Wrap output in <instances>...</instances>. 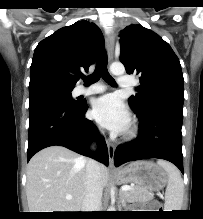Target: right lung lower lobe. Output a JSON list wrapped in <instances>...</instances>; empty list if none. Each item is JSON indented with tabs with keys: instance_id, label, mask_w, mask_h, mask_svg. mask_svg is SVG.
<instances>
[{
	"instance_id": "98d812e1",
	"label": "right lung lower lobe",
	"mask_w": 203,
	"mask_h": 219,
	"mask_svg": "<svg viewBox=\"0 0 203 219\" xmlns=\"http://www.w3.org/2000/svg\"><path fill=\"white\" fill-rule=\"evenodd\" d=\"M88 105H70L54 95H38L29 99V137L27 161L49 146H64L79 154L109 164L104 138L92 121L84 117ZM98 143V150L90 152V142Z\"/></svg>"
}]
</instances>
